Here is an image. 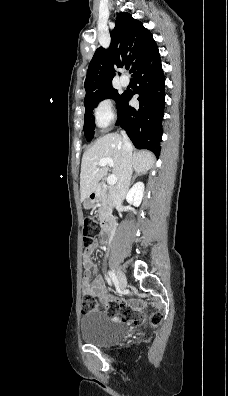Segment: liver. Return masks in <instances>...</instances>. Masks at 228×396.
Masks as SVG:
<instances>
[{
  "label": "liver",
  "instance_id": "1",
  "mask_svg": "<svg viewBox=\"0 0 228 396\" xmlns=\"http://www.w3.org/2000/svg\"><path fill=\"white\" fill-rule=\"evenodd\" d=\"M132 146V145H131ZM124 152L122 136L117 133L107 134L99 139L83 154L80 173V193L83 202L95 192L99 181L107 174V166H98L103 158L113 159L112 173L117 179L121 171ZM155 163V156L147 150L134 151L131 156L132 168L137 173H145Z\"/></svg>",
  "mask_w": 228,
  "mask_h": 396
}]
</instances>
